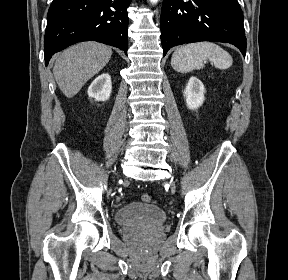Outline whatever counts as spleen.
Wrapping results in <instances>:
<instances>
[{
  "mask_svg": "<svg viewBox=\"0 0 288 280\" xmlns=\"http://www.w3.org/2000/svg\"><path fill=\"white\" fill-rule=\"evenodd\" d=\"M206 60L218 69H228L233 59L219 45L211 42H198L178 47L172 55L171 66L175 71L187 73L204 67Z\"/></svg>",
  "mask_w": 288,
  "mask_h": 280,
  "instance_id": "3e777b00",
  "label": "spleen"
}]
</instances>
